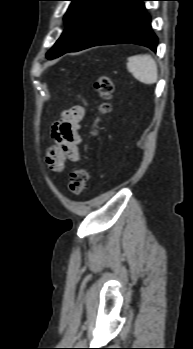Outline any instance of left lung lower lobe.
Listing matches in <instances>:
<instances>
[{
    "mask_svg": "<svg viewBox=\"0 0 193 349\" xmlns=\"http://www.w3.org/2000/svg\"><path fill=\"white\" fill-rule=\"evenodd\" d=\"M143 1L148 0H111L67 52L118 43L140 44L156 51L157 37Z\"/></svg>",
    "mask_w": 193,
    "mask_h": 349,
    "instance_id": "obj_1",
    "label": "left lung lower lobe"
}]
</instances>
